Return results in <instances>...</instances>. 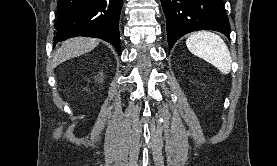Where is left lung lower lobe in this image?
Here are the masks:
<instances>
[{
    "mask_svg": "<svg viewBox=\"0 0 277 166\" xmlns=\"http://www.w3.org/2000/svg\"><path fill=\"white\" fill-rule=\"evenodd\" d=\"M171 49L181 36L215 30L230 37V24L222 0H161Z\"/></svg>",
    "mask_w": 277,
    "mask_h": 166,
    "instance_id": "obj_1",
    "label": "left lung lower lobe"
}]
</instances>
